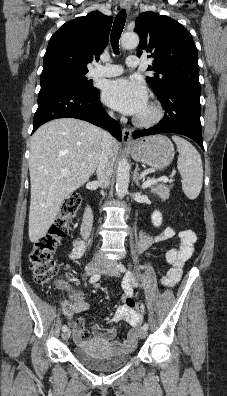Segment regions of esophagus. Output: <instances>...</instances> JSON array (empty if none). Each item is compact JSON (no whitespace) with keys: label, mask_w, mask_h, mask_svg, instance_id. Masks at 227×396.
I'll list each match as a JSON object with an SVG mask.
<instances>
[{"label":"esophagus","mask_w":227,"mask_h":396,"mask_svg":"<svg viewBox=\"0 0 227 396\" xmlns=\"http://www.w3.org/2000/svg\"><path fill=\"white\" fill-rule=\"evenodd\" d=\"M121 7L122 9L129 11L130 10V2L129 0H121ZM131 130L124 127L122 129V141L124 144H131L132 143V138H131Z\"/></svg>","instance_id":"34e87169"}]
</instances>
